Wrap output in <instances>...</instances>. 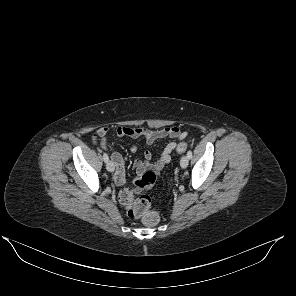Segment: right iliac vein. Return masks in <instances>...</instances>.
Instances as JSON below:
<instances>
[{
  "instance_id": "63e3f726",
  "label": "right iliac vein",
  "mask_w": 296,
  "mask_h": 296,
  "mask_svg": "<svg viewBox=\"0 0 296 296\" xmlns=\"http://www.w3.org/2000/svg\"><path fill=\"white\" fill-rule=\"evenodd\" d=\"M106 168L109 172H113L115 167H114V163L112 161H108L106 164Z\"/></svg>"
}]
</instances>
